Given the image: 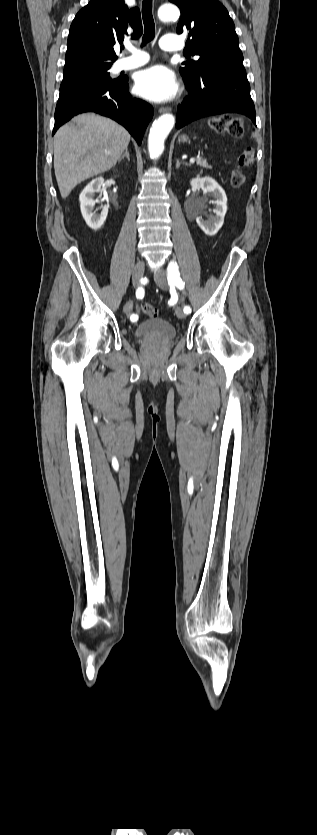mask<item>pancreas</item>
Returning <instances> with one entry per match:
<instances>
[{
	"label": "pancreas",
	"mask_w": 317,
	"mask_h": 835,
	"mask_svg": "<svg viewBox=\"0 0 317 835\" xmlns=\"http://www.w3.org/2000/svg\"><path fill=\"white\" fill-rule=\"evenodd\" d=\"M197 165H199V166H201V167H203V168H210V166L208 165V162H207V160H206V159H201V158H200V159H198V160H197Z\"/></svg>",
	"instance_id": "cf45deb5"
}]
</instances>
